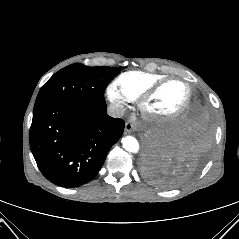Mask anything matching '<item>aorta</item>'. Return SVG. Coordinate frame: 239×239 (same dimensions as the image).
Listing matches in <instances>:
<instances>
[{
  "instance_id": "762f6f07",
  "label": "aorta",
  "mask_w": 239,
  "mask_h": 239,
  "mask_svg": "<svg viewBox=\"0 0 239 239\" xmlns=\"http://www.w3.org/2000/svg\"><path fill=\"white\" fill-rule=\"evenodd\" d=\"M122 146L129 153H138L139 143L133 136H126L122 138Z\"/></svg>"
}]
</instances>
